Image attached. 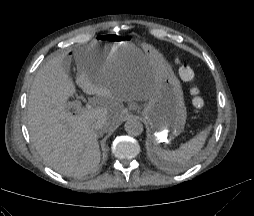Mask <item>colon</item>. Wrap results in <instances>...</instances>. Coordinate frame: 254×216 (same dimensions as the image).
Instances as JSON below:
<instances>
[{"mask_svg":"<svg viewBox=\"0 0 254 216\" xmlns=\"http://www.w3.org/2000/svg\"><path fill=\"white\" fill-rule=\"evenodd\" d=\"M178 74H179L180 79L184 82H187V83H192L194 76H195L193 69L186 64H182L179 67ZM190 93L192 96L193 105L196 108L202 107L203 101H202L201 97L199 96L198 89L196 87H191Z\"/></svg>","mask_w":254,"mask_h":216,"instance_id":"colon-1","label":"colon"}]
</instances>
